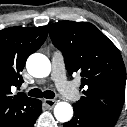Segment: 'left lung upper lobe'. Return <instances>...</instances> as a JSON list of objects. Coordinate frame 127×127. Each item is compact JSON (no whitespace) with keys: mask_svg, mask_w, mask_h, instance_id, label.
<instances>
[{"mask_svg":"<svg viewBox=\"0 0 127 127\" xmlns=\"http://www.w3.org/2000/svg\"><path fill=\"white\" fill-rule=\"evenodd\" d=\"M68 73L81 72L83 96L75 106L117 122L125 97L126 72L116 46L88 22L61 21L49 26Z\"/></svg>","mask_w":127,"mask_h":127,"instance_id":"1","label":"left lung upper lobe"}]
</instances>
